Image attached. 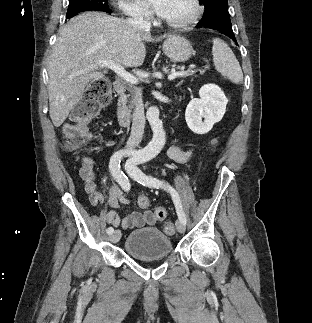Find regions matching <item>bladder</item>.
Instances as JSON below:
<instances>
[{"instance_id":"obj_1","label":"bladder","mask_w":312,"mask_h":323,"mask_svg":"<svg viewBox=\"0 0 312 323\" xmlns=\"http://www.w3.org/2000/svg\"><path fill=\"white\" fill-rule=\"evenodd\" d=\"M125 248L138 259L164 258L172 252V239L158 228L148 227L130 232Z\"/></svg>"}]
</instances>
